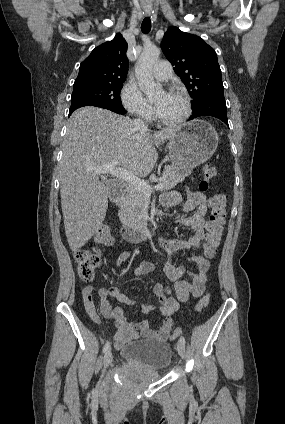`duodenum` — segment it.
<instances>
[{
  "mask_svg": "<svg viewBox=\"0 0 285 424\" xmlns=\"http://www.w3.org/2000/svg\"><path fill=\"white\" fill-rule=\"evenodd\" d=\"M112 185L118 192H122L125 188L124 184L119 179H114ZM155 232L156 229L154 227L146 229H126L122 232V235L129 243H139L153 236Z\"/></svg>",
  "mask_w": 285,
  "mask_h": 424,
  "instance_id": "1",
  "label": "duodenum"
}]
</instances>
